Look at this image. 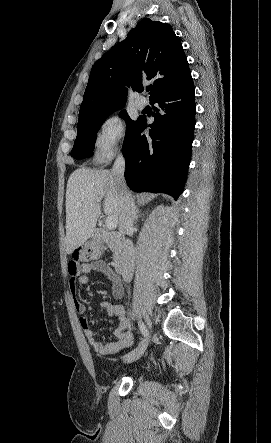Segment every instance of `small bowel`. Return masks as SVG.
I'll return each mask as SVG.
<instances>
[{
    "label": "small bowel",
    "instance_id": "1",
    "mask_svg": "<svg viewBox=\"0 0 271 443\" xmlns=\"http://www.w3.org/2000/svg\"><path fill=\"white\" fill-rule=\"evenodd\" d=\"M100 272L105 275L112 283V295L115 299H120L124 293V287L120 277L108 266L104 261L95 260L93 262L73 264L70 262L68 272L70 276V284L72 291L75 295L76 284L85 285L88 283V276L90 272ZM75 307L81 314L80 323L84 329L85 337L89 345L94 351L100 355H112L120 352L133 344L134 334L132 326L126 317L123 308L120 305L113 304L108 301L101 303V308L106 312L109 317L116 318L118 321L117 328L115 330L116 340L108 343L99 341L93 331L90 329L87 319L84 316L85 307L81 301L75 297Z\"/></svg>",
    "mask_w": 271,
    "mask_h": 443
}]
</instances>
